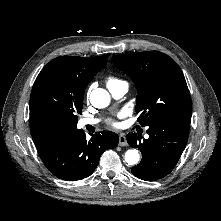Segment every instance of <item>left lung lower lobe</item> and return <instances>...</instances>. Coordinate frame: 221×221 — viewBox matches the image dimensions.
Instances as JSON below:
<instances>
[{"instance_id":"1","label":"left lung lower lobe","mask_w":221,"mask_h":221,"mask_svg":"<svg viewBox=\"0 0 221 221\" xmlns=\"http://www.w3.org/2000/svg\"><path fill=\"white\" fill-rule=\"evenodd\" d=\"M190 122L160 120L148 125V139L130 133L126 136L130 146L142 153L141 162L131 169L134 176L155 181L168 175L177 164L188 141Z\"/></svg>"}]
</instances>
